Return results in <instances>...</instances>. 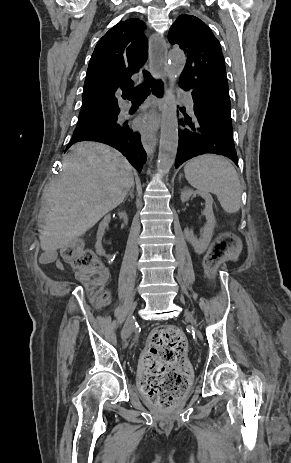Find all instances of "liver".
<instances>
[{
  "instance_id": "6515ba94",
  "label": "liver",
  "mask_w": 291,
  "mask_h": 463,
  "mask_svg": "<svg viewBox=\"0 0 291 463\" xmlns=\"http://www.w3.org/2000/svg\"><path fill=\"white\" fill-rule=\"evenodd\" d=\"M133 185L132 167L120 152L96 142L73 145L48 191L53 212L44 221L42 250L56 253L77 240L120 205Z\"/></svg>"
}]
</instances>
